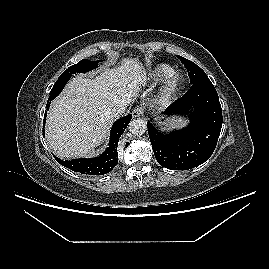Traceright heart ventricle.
<instances>
[{"mask_svg": "<svg viewBox=\"0 0 269 269\" xmlns=\"http://www.w3.org/2000/svg\"><path fill=\"white\" fill-rule=\"evenodd\" d=\"M174 74V69L168 64L158 63L150 67L144 74L145 84L159 85L164 83Z\"/></svg>", "mask_w": 269, "mask_h": 269, "instance_id": "obj_1", "label": "right heart ventricle"}]
</instances>
